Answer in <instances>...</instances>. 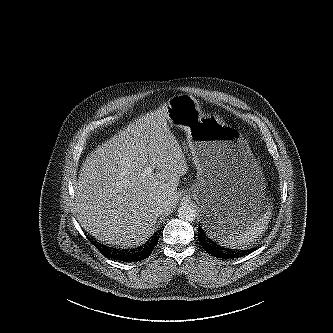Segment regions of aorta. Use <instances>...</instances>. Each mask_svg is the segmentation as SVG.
Returning a JSON list of instances; mask_svg holds the SVG:
<instances>
[{"label": "aorta", "instance_id": "762f6f07", "mask_svg": "<svg viewBox=\"0 0 333 333\" xmlns=\"http://www.w3.org/2000/svg\"><path fill=\"white\" fill-rule=\"evenodd\" d=\"M177 214L179 219L186 221V222H192L196 218V210L191 205H182L178 208Z\"/></svg>", "mask_w": 333, "mask_h": 333}]
</instances>
